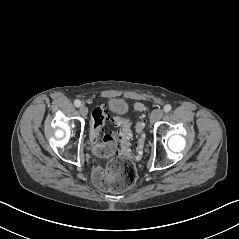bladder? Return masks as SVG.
<instances>
[{"label":"bladder","instance_id":"1","mask_svg":"<svg viewBox=\"0 0 239 239\" xmlns=\"http://www.w3.org/2000/svg\"><path fill=\"white\" fill-rule=\"evenodd\" d=\"M108 107L115 113H126L128 110L127 102L121 98H112L108 101Z\"/></svg>","mask_w":239,"mask_h":239}]
</instances>
